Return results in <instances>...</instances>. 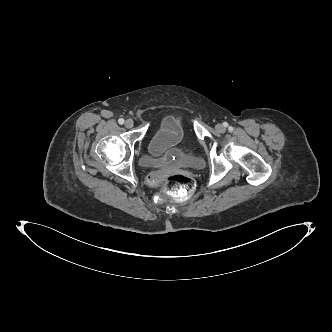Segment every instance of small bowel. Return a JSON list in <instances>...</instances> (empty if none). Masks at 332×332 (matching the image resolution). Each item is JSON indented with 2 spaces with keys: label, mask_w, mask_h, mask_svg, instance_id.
<instances>
[{
  "label": "small bowel",
  "mask_w": 332,
  "mask_h": 332,
  "mask_svg": "<svg viewBox=\"0 0 332 332\" xmlns=\"http://www.w3.org/2000/svg\"><path fill=\"white\" fill-rule=\"evenodd\" d=\"M164 119L158 129L157 133L162 130L163 135L158 137L155 142V150L167 154L172 151L173 147L183 149L187 147L190 137L187 132L181 130L178 123ZM156 133V134H157Z\"/></svg>",
  "instance_id": "c3829d8e"
}]
</instances>
